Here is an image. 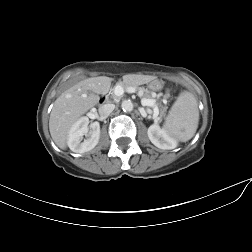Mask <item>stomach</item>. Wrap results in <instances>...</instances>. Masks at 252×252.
Segmentation results:
<instances>
[{
	"mask_svg": "<svg viewBox=\"0 0 252 252\" xmlns=\"http://www.w3.org/2000/svg\"><path fill=\"white\" fill-rule=\"evenodd\" d=\"M163 87V84L161 81L159 80H152L150 83H149V88L152 89V90H161Z\"/></svg>",
	"mask_w": 252,
	"mask_h": 252,
	"instance_id": "0dacf381",
	"label": "stomach"
}]
</instances>
